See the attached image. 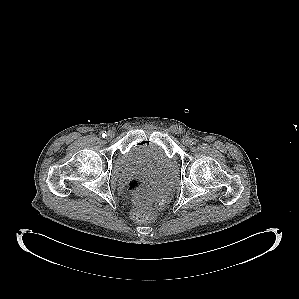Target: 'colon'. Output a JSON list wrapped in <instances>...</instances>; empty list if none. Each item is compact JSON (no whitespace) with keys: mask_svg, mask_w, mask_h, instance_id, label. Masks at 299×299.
I'll use <instances>...</instances> for the list:
<instances>
[{"mask_svg":"<svg viewBox=\"0 0 299 299\" xmlns=\"http://www.w3.org/2000/svg\"><path fill=\"white\" fill-rule=\"evenodd\" d=\"M146 181L141 176L133 177L128 183V189L135 195L136 209L133 212L134 217L138 219H147L152 215V207L146 202L145 198L141 195L146 187Z\"/></svg>","mask_w":299,"mask_h":299,"instance_id":"1","label":"colon"}]
</instances>
